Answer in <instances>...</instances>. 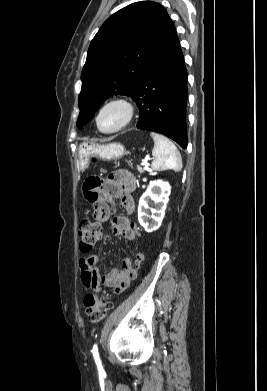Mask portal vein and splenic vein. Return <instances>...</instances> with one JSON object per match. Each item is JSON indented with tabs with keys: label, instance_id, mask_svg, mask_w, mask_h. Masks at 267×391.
Wrapping results in <instances>:
<instances>
[{
	"label": "portal vein and splenic vein",
	"instance_id": "obj_1",
	"mask_svg": "<svg viewBox=\"0 0 267 391\" xmlns=\"http://www.w3.org/2000/svg\"><path fill=\"white\" fill-rule=\"evenodd\" d=\"M148 160H151V159L143 160L142 163H141V165H142V166H149Z\"/></svg>",
	"mask_w": 267,
	"mask_h": 391
}]
</instances>
